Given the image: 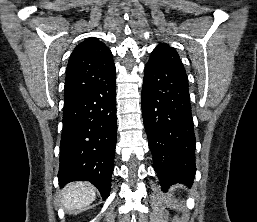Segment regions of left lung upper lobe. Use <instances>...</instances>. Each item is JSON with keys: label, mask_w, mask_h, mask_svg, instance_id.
I'll list each match as a JSON object with an SVG mask.
<instances>
[{"label": "left lung upper lobe", "mask_w": 257, "mask_h": 222, "mask_svg": "<svg viewBox=\"0 0 257 222\" xmlns=\"http://www.w3.org/2000/svg\"><path fill=\"white\" fill-rule=\"evenodd\" d=\"M160 62L166 66L186 75L185 68L180 60L178 53L174 48L167 44L161 43L152 52L150 59Z\"/></svg>", "instance_id": "1"}]
</instances>
